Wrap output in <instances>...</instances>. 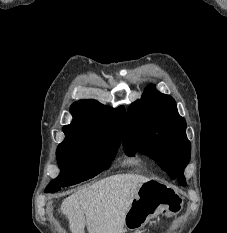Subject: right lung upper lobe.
I'll return each mask as SVG.
<instances>
[{
	"instance_id": "1",
	"label": "right lung upper lobe",
	"mask_w": 227,
	"mask_h": 233,
	"mask_svg": "<svg viewBox=\"0 0 227 233\" xmlns=\"http://www.w3.org/2000/svg\"><path fill=\"white\" fill-rule=\"evenodd\" d=\"M70 111L72 123L63 127L66 138L97 141L113 136L122 139L125 108L111 109L96 100L74 102Z\"/></svg>"
}]
</instances>
